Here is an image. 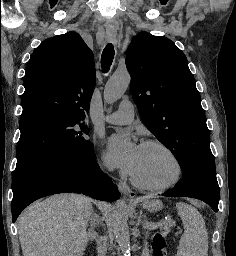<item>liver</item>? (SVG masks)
<instances>
[{
	"label": "liver",
	"mask_w": 236,
	"mask_h": 256,
	"mask_svg": "<svg viewBox=\"0 0 236 256\" xmlns=\"http://www.w3.org/2000/svg\"><path fill=\"white\" fill-rule=\"evenodd\" d=\"M92 204L77 194L34 202L18 220L23 256H83Z\"/></svg>",
	"instance_id": "1"
}]
</instances>
